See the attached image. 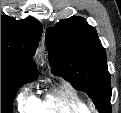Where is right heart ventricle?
<instances>
[{
	"label": "right heart ventricle",
	"instance_id": "e07e8e85",
	"mask_svg": "<svg viewBox=\"0 0 121 113\" xmlns=\"http://www.w3.org/2000/svg\"><path fill=\"white\" fill-rule=\"evenodd\" d=\"M22 113H57L63 109L85 110L87 107L78 98L56 89L44 96L22 98L19 102Z\"/></svg>",
	"mask_w": 121,
	"mask_h": 113
}]
</instances>
